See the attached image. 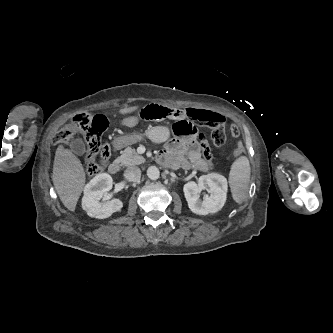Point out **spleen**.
Returning a JSON list of instances; mask_svg holds the SVG:
<instances>
[{
	"instance_id": "obj_1",
	"label": "spleen",
	"mask_w": 333,
	"mask_h": 333,
	"mask_svg": "<svg viewBox=\"0 0 333 333\" xmlns=\"http://www.w3.org/2000/svg\"><path fill=\"white\" fill-rule=\"evenodd\" d=\"M250 163L247 157L241 156L233 163L229 174V185L235 202L242 203L248 194L250 181Z\"/></svg>"
}]
</instances>
